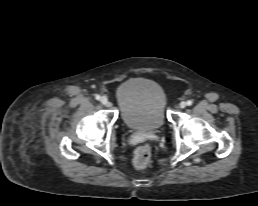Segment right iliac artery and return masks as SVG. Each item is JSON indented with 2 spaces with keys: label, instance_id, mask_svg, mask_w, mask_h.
I'll return each mask as SVG.
<instances>
[{
  "label": "right iliac artery",
  "instance_id": "82829eb1",
  "mask_svg": "<svg viewBox=\"0 0 258 206\" xmlns=\"http://www.w3.org/2000/svg\"><path fill=\"white\" fill-rule=\"evenodd\" d=\"M95 99H96V100H99V99H100V95H98V94L95 95Z\"/></svg>",
  "mask_w": 258,
  "mask_h": 206
}]
</instances>
